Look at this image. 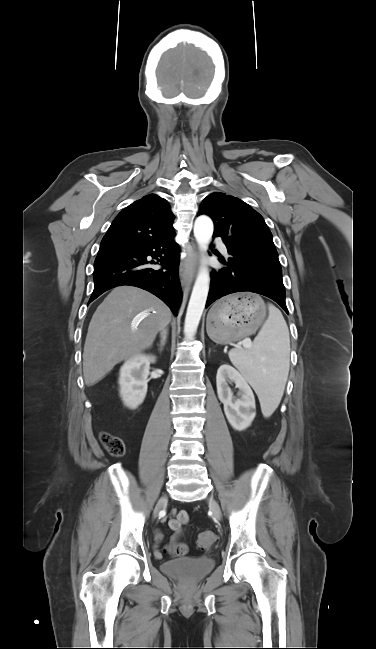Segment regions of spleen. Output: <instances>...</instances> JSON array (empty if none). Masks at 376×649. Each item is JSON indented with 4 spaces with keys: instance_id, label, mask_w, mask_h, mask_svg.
<instances>
[{
    "instance_id": "spleen-1",
    "label": "spleen",
    "mask_w": 376,
    "mask_h": 649,
    "mask_svg": "<svg viewBox=\"0 0 376 649\" xmlns=\"http://www.w3.org/2000/svg\"><path fill=\"white\" fill-rule=\"evenodd\" d=\"M269 316L251 350L233 349L232 364L256 391L265 417L278 407L289 373L290 338L281 311L269 304Z\"/></svg>"
}]
</instances>
